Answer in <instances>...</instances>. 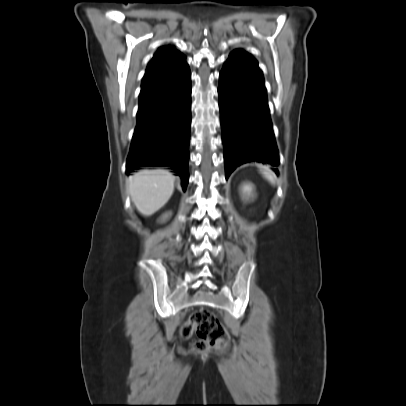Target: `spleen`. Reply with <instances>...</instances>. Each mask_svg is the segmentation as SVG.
<instances>
[{
  "label": "spleen",
  "instance_id": "3e777b00",
  "mask_svg": "<svg viewBox=\"0 0 406 406\" xmlns=\"http://www.w3.org/2000/svg\"><path fill=\"white\" fill-rule=\"evenodd\" d=\"M260 172L262 173V175L271 183V184H275L276 183V176L275 174L268 168V167H262V169L260 170Z\"/></svg>",
  "mask_w": 406,
  "mask_h": 406
}]
</instances>
